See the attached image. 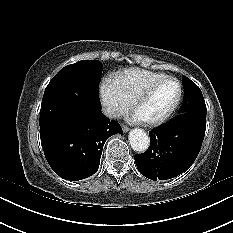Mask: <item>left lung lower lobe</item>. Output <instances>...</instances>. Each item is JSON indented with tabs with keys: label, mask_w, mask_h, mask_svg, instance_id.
<instances>
[{
	"label": "left lung lower lobe",
	"mask_w": 233,
	"mask_h": 233,
	"mask_svg": "<svg viewBox=\"0 0 233 233\" xmlns=\"http://www.w3.org/2000/svg\"><path fill=\"white\" fill-rule=\"evenodd\" d=\"M205 128L206 115L182 113L149 132L150 147L134 156L139 172L151 180L180 175L197 158Z\"/></svg>",
	"instance_id": "obj_1"
}]
</instances>
